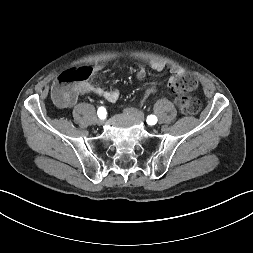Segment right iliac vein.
Instances as JSON below:
<instances>
[{"label":"right iliac vein","mask_w":253,"mask_h":253,"mask_svg":"<svg viewBox=\"0 0 253 253\" xmlns=\"http://www.w3.org/2000/svg\"><path fill=\"white\" fill-rule=\"evenodd\" d=\"M97 124H98L99 126L103 125V124H104V120H103V119H98V120H97Z\"/></svg>","instance_id":"1"}]
</instances>
